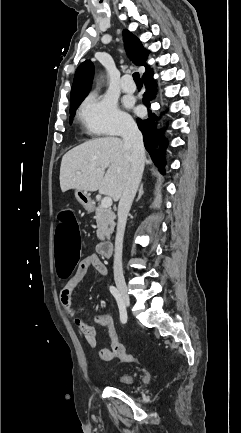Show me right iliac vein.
<instances>
[{
    "mask_svg": "<svg viewBox=\"0 0 241 433\" xmlns=\"http://www.w3.org/2000/svg\"><path fill=\"white\" fill-rule=\"evenodd\" d=\"M116 285H117V288L120 292L124 306L128 307L130 304V300H129L128 289H127L126 283L124 281H117Z\"/></svg>",
    "mask_w": 241,
    "mask_h": 433,
    "instance_id": "right-iliac-vein-1",
    "label": "right iliac vein"
}]
</instances>
